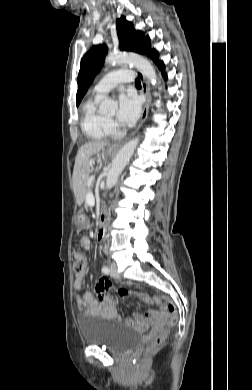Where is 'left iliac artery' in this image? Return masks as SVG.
I'll use <instances>...</instances> for the list:
<instances>
[{
    "mask_svg": "<svg viewBox=\"0 0 252 390\" xmlns=\"http://www.w3.org/2000/svg\"><path fill=\"white\" fill-rule=\"evenodd\" d=\"M109 268L107 266H103L102 267V272L105 273V274H108L109 273Z\"/></svg>",
    "mask_w": 252,
    "mask_h": 390,
    "instance_id": "left-iliac-artery-1",
    "label": "left iliac artery"
}]
</instances>
